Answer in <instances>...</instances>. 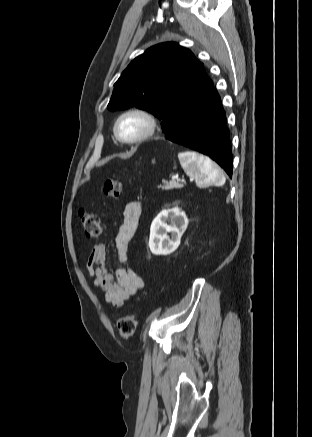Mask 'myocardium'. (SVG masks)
Listing matches in <instances>:
<instances>
[{
  "label": "myocardium",
  "instance_id": "obj_1",
  "mask_svg": "<svg viewBox=\"0 0 312 437\" xmlns=\"http://www.w3.org/2000/svg\"><path fill=\"white\" fill-rule=\"evenodd\" d=\"M133 115L140 116L143 119H145L147 122V128L139 136L132 138V139H126L120 134V131H119L120 123L125 117L133 116ZM157 128H158V121H157L156 117L150 111L143 109V108H130V109L122 112L117 117V119L114 123V134H115L116 138L121 143L133 145V144L141 143V142L149 139L150 137H152L155 134Z\"/></svg>",
  "mask_w": 312,
  "mask_h": 437
}]
</instances>
